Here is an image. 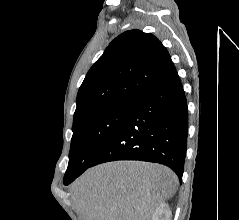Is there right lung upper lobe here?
Returning a JSON list of instances; mask_svg holds the SVG:
<instances>
[{"label":"right lung upper lobe","mask_w":239,"mask_h":220,"mask_svg":"<svg viewBox=\"0 0 239 220\" xmlns=\"http://www.w3.org/2000/svg\"><path fill=\"white\" fill-rule=\"evenodd\" d=\"M175 70L155 36L139 30L122 33L88 71L78 91L74 121L111 106L131 104Z\"/></svg>","instance_id":"cb5924a9"}]
</instances>
